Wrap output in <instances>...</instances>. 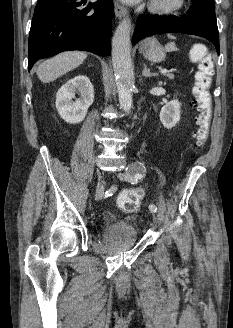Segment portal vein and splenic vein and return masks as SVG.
I'll list each match as a JSON object with an SVG mask.
<instances>
[{"instance_id":"1","label":"portal vein and splenic vein","mask_w":233,"mask_h":328,"mask_svg":"<svg viewBox=\"0 0 233 328\" xmlns=\"http://www.w3.org/2000/svg\"><path fill=\"white\" fill-rule=\"evenodd\" d=\"M167 72H168L167 69H161V70H160V73H163V74H165V73H167Z\"/></svg>"}]
</instances>
